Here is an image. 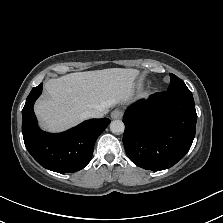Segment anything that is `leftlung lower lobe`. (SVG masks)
I'll return each mask as SVG.
<instances>
[{
	"label": "left lung lower lobe",
	"mask_w": 223,
	"mask_h": 223,
	"mask_svg": "<svg viewBox=\"0 0 223 223\" xmlns=\"http://www.w3.org/2000/svg\"><path fill=\"white\" fill-rule=\"evenodd\" d=\"M196 121L191 92L155 93L131 105L123 116L126 153L141 168H170L189 151Z\"/></svg>",
	"instance_id": "0a47b994"
}]
</instances>
